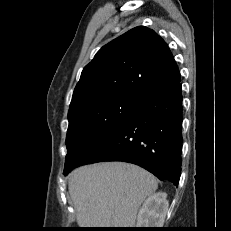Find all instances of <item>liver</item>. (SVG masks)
Segmentation results:
<instances>
[{"mask_svg":"<svg viewBox=\"0 0 231 231\" xmlns=\"http://www.w3.org/2000/svg\"><path fill=\"white\" fill-rule=\"evenodd\" d=\"M158 188L146 170L124 162L82 166L69 178V193L82 228H133L143 201Z\"/></svg>","mask_w":231,"mask_h":231,"instance_id":"liver-1","label":"liver"}]
</instances>
